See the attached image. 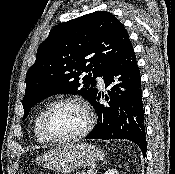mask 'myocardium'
I'll use <instances>...</instances> for the list:
<instances>
[{
    "instance_id": "myocardium-1",
    "label": "myocardium",
    "mask_w": 175,
    "mask_h": 174,
    "mask_svg": "<svg viewBox=\"0 0 175 174\" xmlns=\"http://www.w3.org/2000/svg\"><path fill=\"white\" fill-rule=\"evenodd\" d=\"M66 103L78 105L84 112V115L86 118V123H85L84 128L80 132H78L72 136L57 137V136H54L49 130L48 118H49V115L53 111L54 108H56L57 106H59L61 104H66ZM93 124H94V117H93L91 108L88 105V103L84 99H82L80 97H74V96L63 97V98H60V99L52 102L51 104H49L45 108V110L42 114V117H41V128H42L44 135L47 137V139L49 141L55 142V143H68V142H73V141L79 140L82 137L86 136L91 131Z\"/></svg>"
}]
</instances>
